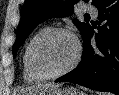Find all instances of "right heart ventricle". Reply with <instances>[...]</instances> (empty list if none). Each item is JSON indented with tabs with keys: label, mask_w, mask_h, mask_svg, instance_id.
Here are the masks:
<instances>
[{
	"label": "right heart ventricle",
	"mask_w": 119,
	"mask_h": 95,
	"mask_svg": "<svg viewBox=\"0 0 119 95\" xmlns=\"http://www.w3.org/2000/svg\"><path fill=\"white\" fill-rule=\"evenodd\" d=\"M51 27L50 26H45L40 28L28 41V43L26 44L23 54H22V70H23V77L24 80L27 82H38V81H42L43 78L40 77L39 75H37L34 70L31 67L30 64V51L31 48L34 44V42L36 41V39L42 35L43 33H45L46 31L50 30Z\"/></svg>",
	"instance_id": "right-heart-ventricle-1"
}]
</instances>
